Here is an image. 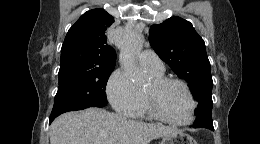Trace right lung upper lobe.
<instances>
[{
	"mask_svg": "<svg viewBox=\"0 0 260 144\" xmlns=\"http://www.w3.org/2000/svg\"><path fill=\"white\" fill-rule=\"evenodd\" d=\"M113 22L114 18L102 9L85 12L65 37L60 70L114 68L116 52L105 35Z\"/></svg>",
	"mask_w": 260,
	"mask_h": 144,
	"instance_id": "obj_1",
	"label": "right lung upper lobe"
}]
</instances>
